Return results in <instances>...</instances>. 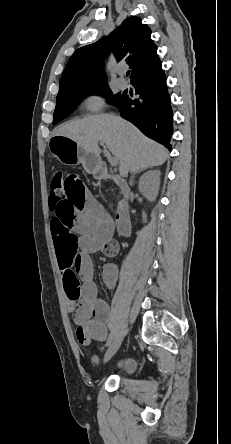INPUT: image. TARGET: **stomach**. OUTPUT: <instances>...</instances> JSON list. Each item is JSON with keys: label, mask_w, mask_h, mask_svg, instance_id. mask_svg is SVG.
<instances>
[{"label": "stomach", "mask_w": 231, "mask_h": 444, "mask_svg": "<svg viewBox=\"0 0 231 444\" xmlns=\"http://www.w3.org/2000/svg\"><path fill=\"white\" fill-rule=\"evenodd\" d=\"M49 149L54 157L66 165L82 164L86 172L96 174L101 168L100 157L85 151L72 139L57 135L49 142Z\"/></svg>", "instance_id": "0dacf381"}]
</instances>
